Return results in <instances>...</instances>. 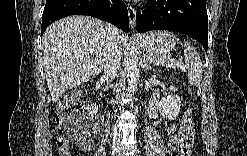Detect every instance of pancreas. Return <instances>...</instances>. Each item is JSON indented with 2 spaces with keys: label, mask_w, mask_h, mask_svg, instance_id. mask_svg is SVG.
Segmentation results:
<instances>
[{
  "label": "pancreas",
  "mask_w": 247,
  "mask_h": 156,
  "mask_svg": "<svg viewBox=\"0 0 247 156\" xmlns=\"http://www.w3.org/2000/svg\"><path fill=\"white\" fill-rule=\"evenodd\" d=\"M147 60L155 65H167L171 64L172 58L169 55H147Z\"/></svg>",
  "instance_id": "cf45deb5"
}]
</instances>
